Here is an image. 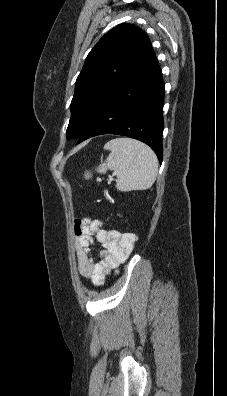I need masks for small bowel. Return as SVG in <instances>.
Masks as SVG:
<instances>
[{
    "mask_svg": "<svg viewBox=\"0 0 227 396\" xmlns=\"http://www.w3.org/2000/svg\"><path fill=\"white\" fill-rule=\"evenodd\" d=\"M74 232L78 271L97 286H101L105 278L128 259L137 241L134 233L105 229L99 220L89 218L76 220ZM95 240L102 246L98 262L91 256V245Z\"/></svg>",
    "mask_w": 227,
    "mask_h": 396,
    "instance_id": "obj_1",
    "label": "small bowel"
}]
</instances>
